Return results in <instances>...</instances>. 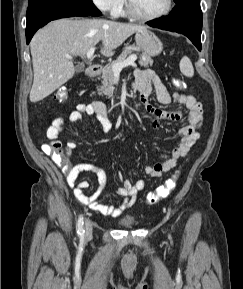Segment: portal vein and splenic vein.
<instances>
[{"mask_svg": "<svg viewBox=\"0 0 243 289\" xmlns=\"http://www.w3.org/2000/svg\"><path fill=\"white\" fill-rule=\"evenodd\" d=\"M94 52H95V48L94 47L90 48L86 53L87 58L91 59L94 55ZM67 58L72 59V57L69 55L67 56ZM136 59H137L136 55H131L127 59H125L124 61L114 64L112 66L113 72L114 73H120L124 67L130 66V65L136 66V64H135Z\"/></svg>", "mask_w": 243, "mask_h": 289, "instance_id": "18ae733b", "label": "portal vein and splenic vein"}]
</instances>
